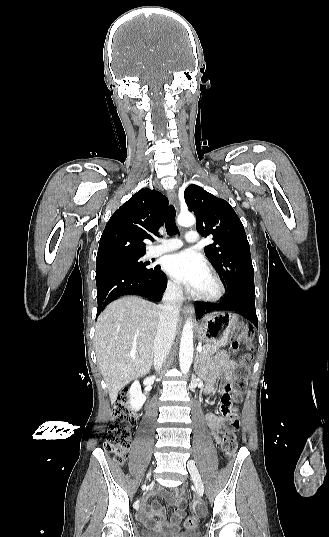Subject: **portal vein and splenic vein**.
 <instances>
[{
  "instance_id": "obj_1",
  "label": "portal vein and splenic vein",
  "mask_w": 329,
  "mask_h": 537,
  "mask_svg": "<svg viewBox=\"0 0 329 537\" xmlns=\"http://www.w3.org/2000/svg\"><path fill=\"white\" fill-rule=\"evenodd\" d=\"M202 350H203L202 347H197V351H198V352H201ZM130 357H131L132 359H136L135 353H131V354H130Z\"/></svg>"
}]
</instances>
